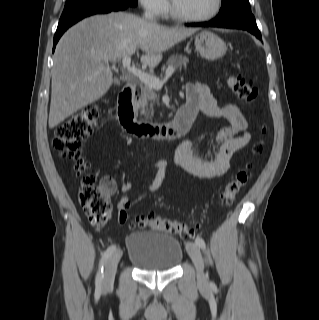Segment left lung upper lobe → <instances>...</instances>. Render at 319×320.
<instances>
[{
    "label": "left lung upper lobe",
    "mask_w": 319,
    "mask_h": 320,
    "mask_svg": "<svg viewBox=\"0 0 319 320\" xmlns=\"http://www.w3.org/2000/svg\"><path fill=\"white\" fill-rule=\"evenodd\" d=\"M251 11L248 0H222V8L219 15H225L230 11Z\"/></svg>",
    "instance_id": "5c2ea615"
}]
</instances>
